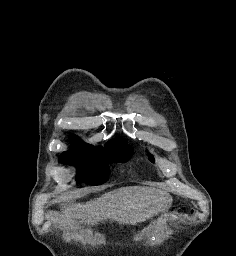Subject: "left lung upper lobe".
<instances>
[{
  "mask_svg": "<svg viewBox=\"0 0 236 256\" xmlns=\"http://www.w3.org/2000/svg\"><path fill=\"white\" fill-rule=\"evenodd\" d=\"M148 158H149V160H150L151 162H154V158H153L152 155H149Z\"/></svg>",
  "mask_w": 236,
  "mask_h": 256,
  "instance_id": "1",
  "label": "left lung upper lobe"
}]
</instances>
